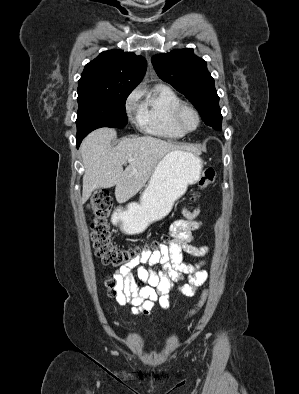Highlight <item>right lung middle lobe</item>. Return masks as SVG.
Here are the masks:
<instances>
[{
    "instance_id": "right-lung-middle-lobe-1",
    "label": "right lung middle lobe",
    "mask_w": 299,
    "mask_h": 394,
    "mask_svg": "<svg viewBox=\"0 0 299 394\" xmlns=\"http://www.w3.org/2000/svg\"><path fill=\"white\" fill-rule=\"evenodd\" d=\"M132 90H78L77 134L86 136L100 127L123 128L128 122L125 101Z\"/></svg>"
}]
</instances>
